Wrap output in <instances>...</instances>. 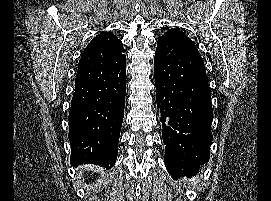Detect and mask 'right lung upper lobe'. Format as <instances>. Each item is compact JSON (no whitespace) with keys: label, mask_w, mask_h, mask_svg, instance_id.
Instances as JSON below:
<instances>
[{"label":"right lung upper lobe","mask_w":271,"mask_h":201,"mask_svg":"<svg viewBox=\"0 0 271 201\" xmlns=\"http://www.w3.org/2000/svg\"><path fill=\"white\" fill-rule=\"evenodd\" d=\"M102 35H108V37H112V38H116L112 33H107V32H105V33H102Z\"/></svg>","instance_id":"cb5924a9"}]
</instances>
